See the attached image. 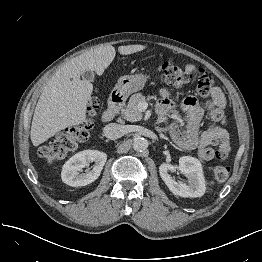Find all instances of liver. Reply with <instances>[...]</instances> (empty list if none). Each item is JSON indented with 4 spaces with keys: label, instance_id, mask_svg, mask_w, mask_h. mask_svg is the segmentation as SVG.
<instances>
[{
    "label": "liver",
    "instance_id": "6515ba94",
    "mask_svg": "<svg viewBox=\"0 0 262 262\" xmlns=\"http://www.w3.org/2000/svg\"><path fill=\"white\" fill-rule=\"evenodd\" d=\"M146 48L145 45L119 46L122 55H130ZM115 48L101 46L85 52L64 64L47 82L36 105L31 141L38 146L66 127L86 122V106L93 90L92 84L81 80L86 71H95L99 76L115 57Z\"/></svg>",
    "mask_w": 262,
    "mask_h": 262
}]
</instances>
